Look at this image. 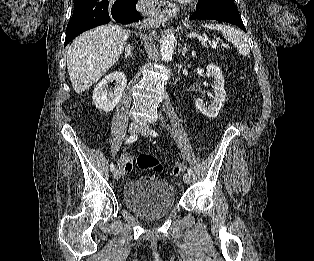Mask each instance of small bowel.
I'll return each mask as SVG.
<instances>
[{
	"mask_svg": "<svg viewBox=\"0 0 314 261\" xmlns=\"http://www.w3.org/2000/svg\"><path fill=\"white\" fill-rule=\"evenodd\" d=\"M122 171L127 174L132 170V158L126 156L121 161Z\"/></svg>",
	"mask_w": 314,
	"mask_h": 261,
	"instance_id": "1",
	"label": "small bowel"
}]
</instances>
